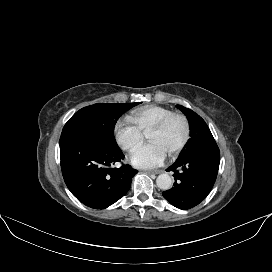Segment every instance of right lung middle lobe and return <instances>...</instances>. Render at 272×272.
Returning a JSON list of instances; mask_svg holds the SVG:
<instances>
[{"mask_svg":"<svg viewBox=\"0 0 272 272\" xmlns=\"http://www.w3.org/2000/svg\"><path fill=\"white\" fill-rule=\"evenodd\" d=\"M137 103L94 104L77 111L65 124L62 133L81 131L97 136L106 143L118 146L114 126L119 117Z\"/></svg>","mask_w":272,"mask_h":272,"instance_id":"obj_1","label":"right lung middle lobe"}]
</instances>
